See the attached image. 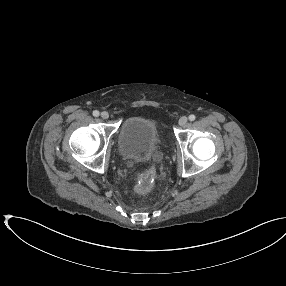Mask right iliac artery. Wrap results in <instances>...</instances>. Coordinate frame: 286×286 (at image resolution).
Here are the masks:
<instances>
[{
  "label": "right iliac artery",
  "mask_w": 286,
  "mask_h": 286,
  "mask_svg": "<svg viewBox=\"0 0 286 286\" xmlns=\"http://www.w3.org/2000/svg\"><path fill=\"white\" fill-rule=\"evenodd\" d=\"M93 116L98 117L99 116V111H97V110L93 111Z\"/></svg>",
  "instance_id": "obj_1"
}]
</instances>
